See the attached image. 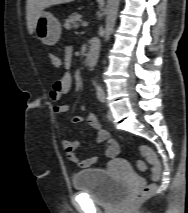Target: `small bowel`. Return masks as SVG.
Here are the masks:
<instances>
[{
    "label": "small bowel",
    "instance_id": "c3829d8e",
    "mask_svg": "<svg viewBox=\"0 0 188 213\" xmlns=\"http://www.w3.org/2000/svg\"><path fill=\"white\" fill-rule=\"evenodd\" d=\"M54 57L57 58V60L59 61L60 64L59 67H61L63 64L68 67L73 60V48L71 46L65 48L63 61L60 57L56 55H54ZM71 88H72V78L71 75L68 73L64 74L58 81H56L53 84L52 90L50 91V99L55 103L53 106V113L55 115H62L68 111L69 106L65 103H60V101L65 95H67L71 91ZM71 122L88 123L92 128L96 130L95 135L96 141L98 143H105L106 145L105 156L109 159H114L117 157L120 150L119 144L116 140L110 137L109 132L103 127L102 123L98 118L92 115L86 116L75 115L71 118ZM79 145H80L79 140H69V139L62 140V146L65 150L66 156L71 162L75 163L80 168H89L93 166L97 162L98 157L96 156L89 158L79 157L76 152Z\"/></svg>",
    "mask_w": 188,
    "mask_h": 213
}]
</instances>
